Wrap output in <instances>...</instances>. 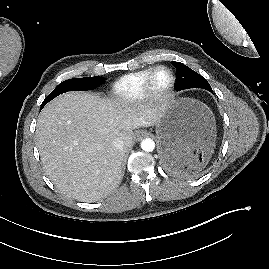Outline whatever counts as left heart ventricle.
<instances>
[{"label":"left heart ventricle","mask_w":269,"mask_h":269,"mask_svg":"<svg viewBox=\"0 0 269 269\" xmlns=\"http://www.w3.org/2000/svg\"><path fill=\"white\" fill-rule=\"evenodd\" d=\"M169 83V74L164 71L160 70L156 73L154 78V88L158 91L164 89Z\"/></svg>","instance_id":"obj_1"}]
</instances>
